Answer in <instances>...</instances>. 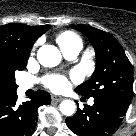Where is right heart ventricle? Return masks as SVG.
<instances>
[{
	"mask_svg": "<svg viewBox=\"0 0 136 136\" xmlns=\"http://www.w3.org/2000/svg\"><path fill=\"white\" fill-rule=\"evenodd\" d=\"M57 42L62 50L73 48V47H82V41L80 37L71 31H65L58 35Z\"/></svg>",
	"mask_w": 136,
	"mask_h": 136,
	"instance_id": "1",
	"label": "right heart ventricle"
}]
</instances>
